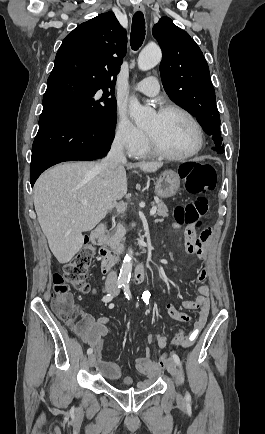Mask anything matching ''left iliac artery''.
Listing matches in <instances>:
<instances>
[{
  "instance_id": "44dca946",
  "label": "left iliac artery",
  "mask_w": 265,
  "mask_h": 434,
  "mask_svg": "<svg viewBox=\"0 0 265 434\" xmlns=\"http://www.w3.org/2000/svg\"><path fill=\"white\" fill-rule=\"evenodd\" d=\"M128 283H129V282H126V283L124 284L123 288H124V294H125L126 298H127L128 300H130V298H131V292H130L129 284H128ZM172 358H173V360L175 361V363H176L178 366H181V361H180V358H179V356H178L177 354L173 353V354H172ZM185 398H186L187 401H190V400H191V396H190V394H189L188 392L186 393Z\"/></svg>"
}]
</instances>
